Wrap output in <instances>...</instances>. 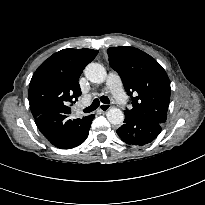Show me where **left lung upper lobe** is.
Listing matches in <instances>:
<instances>
[{"instance_id": "obj_1", "label": "left lung upper lobe", "mask_w": 205, "mask_h": 205, "mask_svg": "<svg viewBox=\"0 0 205 205\" xmlns=\"http://www.w3.org/2000/svg\"><path fill=\"white\" fill-rule=\"evenodd\" d=\"M107 53L111 67L118 72L131 96L132 109H126L125 114L164 123L171 87L162 66L134 47H111Z\"/></svg>"}]
</instances>
